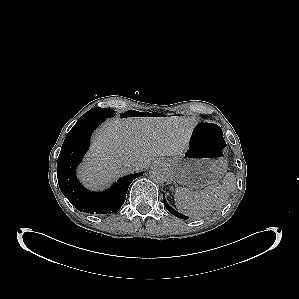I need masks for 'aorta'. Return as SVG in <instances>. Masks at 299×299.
<instances>
[{"mask_svg":"<svg viewBox=\"0 0 299 299\" xmlns=\"http://www.w3.org/2000/svg\"><path fill=\"white\" fill-rule=\"evenodd\" d=\"M149 175L153 181L164 183L169 179L170 171L167 166L163 164H156L151 167Z\"/></svg>","mask_w":299,"mask_h":299,"instance_id":"1","label":"aorta"}]
</instances>
